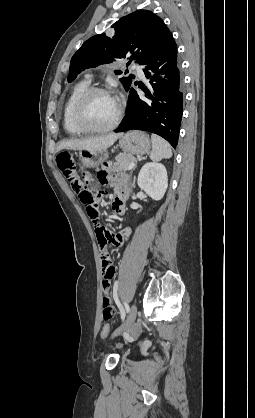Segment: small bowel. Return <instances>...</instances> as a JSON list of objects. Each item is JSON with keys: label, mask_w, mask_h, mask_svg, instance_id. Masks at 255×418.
Returning <instances> with one entry per match:
<instances>
[{"label": "small bowel", "mask_w": 255, "mask_h": 418, "mask_svg": "<svg viewBox=\"0 0 255 418\" xmlns=\"http://www.w3.org/2000/svg\"><path fill=\"white\" fill-rule=\"evenodd\" d=\"M99 180L102 183H108L114 186V198L112 201V208L119 214L125 212L124 199L127 197V189L125 184L113 176L109 175L107 170H102L99 172ZM130 235V229H124L117 234L108 233L106 227H101L99 229V234L95 237V240L98 242L99 254L102 265V288H103V298H102V307L103 312L101 317L103 320H114L117 317L115 313V308L112 303V299L109 295L110 282L115 276V266L113 264V259L111 257V249L109 248V242L116 248L121 247ZM108 329L109 326L107 325Z\"/></svg>", "instance_id": "c3829d8e"}]
</instances>
